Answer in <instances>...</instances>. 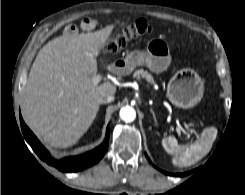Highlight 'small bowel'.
I'll use <instances>...</instances> for the list:
<instances>
[{
    "label": "small bowel",
    "mask_w": 245,
    "mask_h": 195,
    "mask_svg": "<svg viewBox=\"0 0 245 195\" xmlns=\"http://www.w3.org/2000/svg\"><path fill=\"white\" fill-rule=\"evenodd\" d=\"M95 26H96V21L93 18H85L81 22V29L85 31L92 30L95 28ZM77 32H78V28L73 24L67 25L64 29V34L66 36H74L76 35Z\"/></svg>",
    "instance_id": "c3829d8e"
}]
</instances>
